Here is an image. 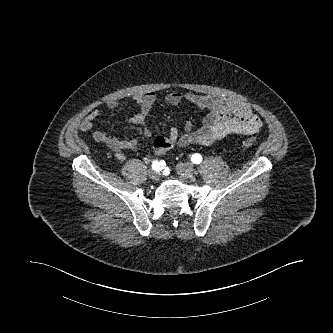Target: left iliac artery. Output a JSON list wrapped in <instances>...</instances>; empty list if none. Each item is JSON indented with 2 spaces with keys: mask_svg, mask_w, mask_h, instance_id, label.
I'll use <instances>...</instances> for the list:
<instances>
[{
  "mask_svg": "<svg viewBox=\"0 0 333 333\" xmlns=\"http://www.w3.org/2000/svg\"><path fill=\"white\" fill-rule=\"evenodd\" d=\"M191 161H192L194 164H199V163H201V161H202V156H201L200 154H198V153L193 154V155L191 156Z\"/></svg>",
  "mask_w": 333,
  "mask_h": 333,
  "instance_id": "obj_1",
  "label": "left iliac artery"
}]
</instances>
